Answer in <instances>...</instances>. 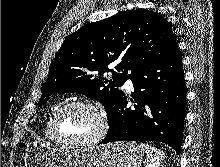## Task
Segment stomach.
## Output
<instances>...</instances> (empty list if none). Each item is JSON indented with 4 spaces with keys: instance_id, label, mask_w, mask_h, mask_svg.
I'll use <instances>...</instances> for the list:
<instances>
[{
    "instance_id": "1",
    "label": "stomach",
    "mask_w": 220,
    "mask_h": 167,
    "mask_svg": "<svg viewBox=\"0 0 220 167\" xmlns=\"http://www.w3.org/2000/svg\"><path fill=\"white\" fill-rule=\"evenodd\" d=\"M24 160L26 167H141L143 151L135 142L82 149L32 142L25 150Z\"/></svg>"
}]
</instances>
